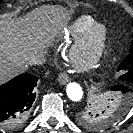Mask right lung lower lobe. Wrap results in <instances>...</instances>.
Here are the masks:
<instances>
[{
  "label": "right lung lower lobe",
  "mask_w": 133,
  "mask_h": 133,
  "mask_svg": "<svg viewBox=\"0 0 133 133\" xmlns=\"http://www.w3.org/2000/svg\"><path fill=\"white\" fill-rule=\"evenodd\" d=\"M37 81V77L19 75L0 86V128L11 129L23 122L35 100Z\"/></svg>",
  "instance_id": "98d812e1"
}]
</instances>
